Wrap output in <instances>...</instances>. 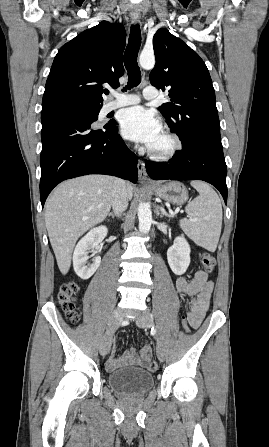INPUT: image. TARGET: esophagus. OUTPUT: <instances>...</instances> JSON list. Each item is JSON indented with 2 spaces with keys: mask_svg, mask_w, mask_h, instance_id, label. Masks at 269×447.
Returning a JSON list of instances; mask_svg holds the SVG:
<instances>
[{
  "mask_svg": "<svg viewBox=\"0 0 269 447\" xmlns=\"http://www.w3.org/2000/svg\"><path fill=\"white\" fill-rule=\"evenodd\" d=\"M140 15H134L131 17V21L134 24H138L140 22ZM138 168V176H139V182L141 183H150V180L148 179V175L145 168V162L143 160H138L137 164Z\"/></svg>",
  "mask_w": 269,
  "mask_h": 447,
  "instance_id": "34e87169",
  "label": "esophagus"
}]
</instances>
